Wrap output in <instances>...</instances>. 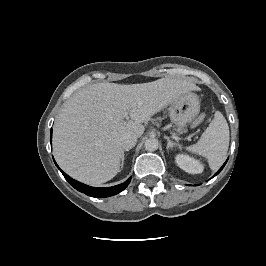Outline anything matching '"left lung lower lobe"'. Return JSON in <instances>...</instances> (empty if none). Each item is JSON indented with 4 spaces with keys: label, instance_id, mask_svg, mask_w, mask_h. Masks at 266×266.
<instances>
[{
    "label": "left lung lower lobe",
    "instance_id": "0a47b994",
    "mask_svg": "<svg viewBox=\"0 0 266 266\" xmlns=\"http://www.w3.org/2000/svg\"><path fill=\"white\" fill-rule=\"evenodd\" d=\"M226 162H227V161H226ZM226 162L223 164V166L218 170V172H217L214 176H216L217 174H219V173L221 172V170L224 168Z\"/></svg>",
    "mask_w": 266,
    "mask_h": 266
}]
</instances>
